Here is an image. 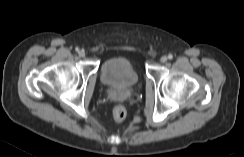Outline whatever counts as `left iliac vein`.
Here are the masks:
<instances>
[{"label":"left iliac vein","mask_w":244,"mask_h":157,"mask_svg":"<svg viewBox=\"0 0 244 157\" xmlns=\"http://www.w3.org/2000/svg\"><path fill=\"white\" fill-rule=\"evenodd\" d=\"M160 61H161L162 63H166V62H167V57H166V56H162V57L160 58Z\"/></svg>","instance_id":"left-iliac-vein-1"}]
</instances>
